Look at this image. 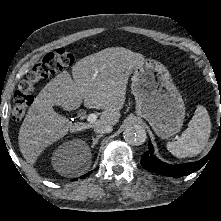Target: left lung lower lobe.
I'll return each instance as SVG.
<instances>
[{
	"mask_svg": "<svg viewBox=\"0 0 221 221\" xmlns=\"http://www.w3.org/2000/svg\"><path fill=\"white\" fill-rule=\"evenodd\" d=\"M217 143H218V140L216 141V144ZM213 149L206 157H204L203 159L197 162L184 163V164H179V165H170V164L160 161L154 155L152 144L151 142H149V149L142 156L141 164L145 169L152 171L154 173L160 174V175L171 176V177H181V176L189 175L197 171L198 169H200L207 162L208 158L212 154Z\"/></svg>",
	"mask_w": 221,
	"mask_h": 221,
	"instance_id": "0a47b994",
	"label": "left lung lower lobe"
}]
</instances>
